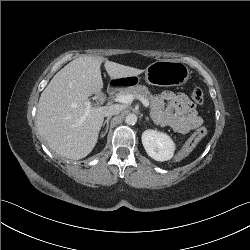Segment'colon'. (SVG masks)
Segmentation results:
<instances>
[{
	"instance_id": "colon-1",
	"label": "colon",
	"mask_w": 250,
	"mask_h": 250,
	"mask_svg": "<svg viewBox=\"0 0 250 250\" xmlns=\"http://www.w3.org/2000/svg\"><path fill=\"white\" fill-rule=\"evenodd\" d=\"M191 100L197 104H201L204 101V93L201 89L196 88L190 94ZM207 134L205 127H200L195 133L188 139L186 145L177 149L175 154L171 156L170 162L172 165L177 166L183 162L184 158L189 155L202 138Z\"/></svg>"
}]
</instances>
